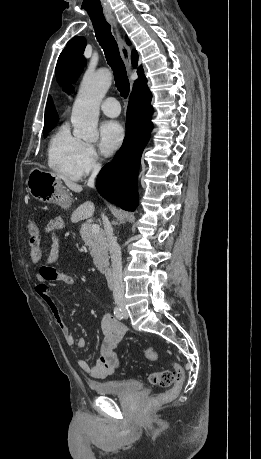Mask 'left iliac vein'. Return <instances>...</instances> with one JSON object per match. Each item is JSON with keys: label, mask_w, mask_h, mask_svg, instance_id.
<instances>
[{"label": "left iliac vein", "mask_w": 261, "mask_h": 459, "mask_svg": "<svg viewBox=\"0 0 261 459\" xmlns=\"http://www.w3.org/2000/svg\"><path fill=\"white\" fill-rule=\"evenodd\" d=\"M122 311H123V317H124L125 319H127L128 316H129V315H128V311H127L124 307H123Z\"/></svg>", "instance_id": "1"}]
</instances>
